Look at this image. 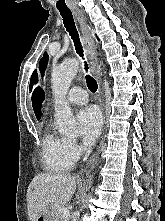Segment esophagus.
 <instances>
[{
    "instance_id": "obj_1",
    "label": "esophagus",
    "mask_w": 165,
    "mask_h": 221,
    "mask_svg": "<svg viewBox=\"0 0 165 221\" xmlns=\"http://www.w3.org/2000/svg\"><path fill=\"white\" fill-rule=\"evenodd\" d=\"M74 14H75L78 22L80 23V27H81V31H82V40H83V43L85 46V51H86L88 58H89L91 72L93 73V75L95 76V78L97 79L98 84H99L100 103H101L102 109L104 110L103 86H102L101 75H100V72L98 69L95 41L91 35L90 28L86 22V18L84 16L83 12L79 9H75ZM105 131H106V127H104V135L102 137L101 143L104 142ZM97 156H98V152H96L93 155V157L91 158L90 161L94 160Z\"/></svg>"
}]
</instances>
